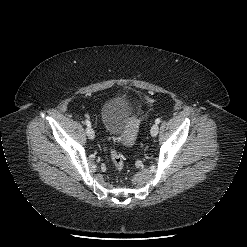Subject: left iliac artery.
Returning a JSON list of instances; mask_svg holds the SVG:
<instances>
[{
	"instance_id": "1",
	"label": "left iliac artery",
	"mask_w": 247,
	"mask_h": 247,
	"mask_svg": "<svg viewBox=\"0 0 247 247\" xmlns=\"http://www.w3.org/2000/svg\"><path fill=\"white\" fill-rule=\"evenodd\" d=\"M160 121H161L160 118H157V119L155 120V123H156V124H159Z\"/></svg>"
}]
</instances>
